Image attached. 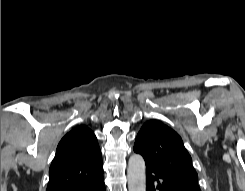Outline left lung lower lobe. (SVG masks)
<instances>
[{
	"label": "left lung lower lobe",
	"mask_w": 245,
	"mask_h": 191,
	"mask_svg": "<svg viewBox=\"0 0 245 191\" xmlns=\"http://www.w3.org/2000/svg\"><path fill=\"white\" fill-rule=\"evenodd\" d=\"M146 184V191H201L199 186H190L150 165H146Z\"/></svg>",
	"instance_id": "obj_1"
}]
</instances>
